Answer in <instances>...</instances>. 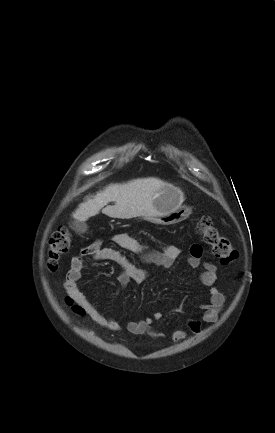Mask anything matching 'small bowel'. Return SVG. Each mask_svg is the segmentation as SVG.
Returning a JSON list of instances; mask_svg holds the SVG:
<instances>
[{"label":"small bowel","mask_w":275,"mask_h":433,"mask_svg":"<svg viewBox=\"0 0 275 433\" xmlns=\"http://www.w3.org/2000/svg\"><path fill=\"white\" fill-rule=\"evenodd\" d=\"M111 240L117 246L139 254L144 263L158 267L168 268L172 266L180 255V249L176 245H167L161 251H147L146 246L129 232L116 233L112 235ZM85 257H92L95 261H111L118 264L122 268V272L118 277L122 286H127L130 281L145 282L150 278V272L134 265L119 250L101 247L99 242L85 246L78 255L72 258L70 269L64 281L65 290L77 304L81 305L88 312L97 324L110 331L118 332L121 330L120 323L116 319L106 316L99 311L78 285ZM201 257L202 247L199 244H193L190 247L188 265L192 268L202 266L203 271L200 274V282L209 288V302L202 305L203 314L200 320L191 319L187 322L191 335L200 334L202 323H214L218 319L225 303L224 294L215 286L218 278L217 267L211 262H202ZM163 316L164 314L158 311L154 312L150 317L147 316L140 320L129 321L126 325L127 330L136 335L148 334L155 339L161 338L162 334L153 328V323L156 320L162 319ZM186 336V333L181 329L174 330L171 335L174 342L182 341Z\"/></svg>","instance_id":"1"}]
</instances>
